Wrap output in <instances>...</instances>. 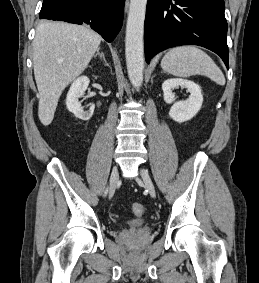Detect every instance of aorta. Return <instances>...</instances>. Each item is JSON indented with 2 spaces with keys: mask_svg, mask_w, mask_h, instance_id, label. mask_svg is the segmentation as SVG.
Segmentation results:
<instances>
[{
  "mask_svg": "<svg viewBox=\"0 0 259 283\" xmlns=\"http://www.w3.org/2000/svg\"><path fill=\"white\" fill-rule=\"evenodd\" d=\"M147 0H130L126 25L125 54L130 82L139 88L144 70V21Z\"/></svg>",
  "mask_w": 259,
  "mask_h": 283,
  "instance_id": "1",
  "label": "aorta"
}]
</instances>
